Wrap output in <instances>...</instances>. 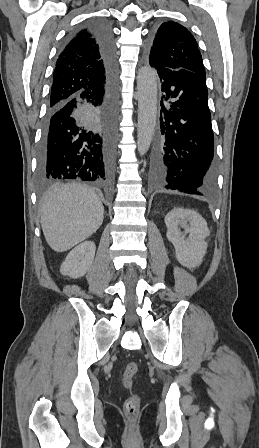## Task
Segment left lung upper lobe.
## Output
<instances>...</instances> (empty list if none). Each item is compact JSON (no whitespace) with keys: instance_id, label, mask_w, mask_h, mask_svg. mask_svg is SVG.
I'll return each mask as SVG.
<instances>
[{"instance_id":"5c2ea615","label":"left lung upper lobe","mask_w":259,"mask_h":448,"mask_svg":"<svg viewBox=\"0 0 259 448\" xmlns=\"http://www.w3.org/2000/svg\"><path fill=\"white\" fill-rule=\"evenodd\" d=\"M147 56L155 69H185L206 76L195 38L177 22H164L156 29Z\"/></svg>"}]
</instances>
